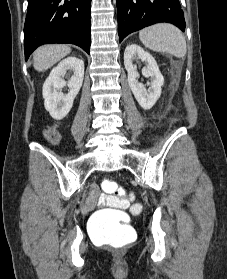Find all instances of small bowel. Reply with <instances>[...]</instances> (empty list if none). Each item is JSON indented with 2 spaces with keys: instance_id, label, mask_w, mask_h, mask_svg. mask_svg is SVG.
<instances>
[{
  "instance_id": "small-bowel-1",
  "label": "small bowel",
  "mask_w": 227,
  "mask_h": 279,
  "mask_svg": "<svg viewBox=\"0 0 227 279\" xmlns=\"http://www.w3.org/2000/svg\"><path fill=\"white\" fill-rule=\"evenodd\" d=\"M104 205L120 209H129L132 212H137L140 209L139 204H131L127 198L106 196L101 193V190L97 185H91L85 204L82 206V210L84 212H89L95 207Z\"/></svg>"
}]
</instances>
